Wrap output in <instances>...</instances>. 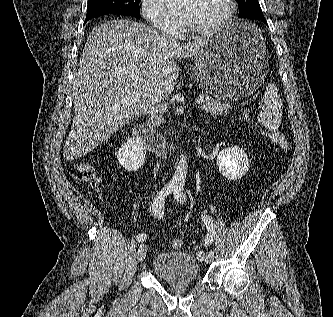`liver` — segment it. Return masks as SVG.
Segmentation results:
<instances>
[{"mask_svg": "<svg viewBox=\"0 0 333 317\" xmlns=\"http://www.w3.org/2000/svg\"><path fill=\"white\" fill-rule=\"evenodd\" d=\"M206 39L181 43L124 19L94 27L73 81L74 117L64 158L86 155L164 100L176 85V60L197 55ZM133 92L138 96L131 97Z\"/></svg>", "mask_w": 333, "mask_h": 317, "instance_id": "liver-1", "label": "liver"}]
</instances>
